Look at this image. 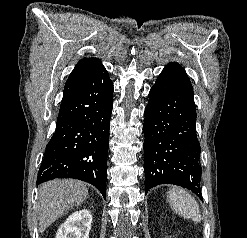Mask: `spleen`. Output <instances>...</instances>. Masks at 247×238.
<instances>
[{
    "label": "spleen",
    "mask_w": 247,
    "mask_h": 238,
    "mask_svg": "<svg viewBox=\"0 0 247 238\" xmlns=\"http://www.w3.org/2000/svg\"><path fill=\"white\" fill-rule=\"evenodd\" d=\"M167 198L176 213L185 219L200 222L199 205L187 191L179 187H174L168 191Z\"/></svg>",
    "instance_id": "obj_1"
}]
</instances>
